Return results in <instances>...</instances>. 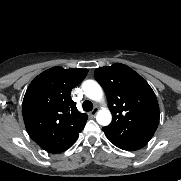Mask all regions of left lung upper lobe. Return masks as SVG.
Returning a JSON list of instances; mask_svg holds the SVG:
<instances>
[{"mask_svg":"<svg viewBox=\"0 0 181 181\" xmlns=\"http://www.w3.org/2000/svg\"><path fill=\"white\" fill-rule=\"evenodd\" d=\"M103 87L113 120L103 127L106 137L120 144L146 145L160 118L159 105L150 85L127 65L116 63L95 70Z\"/></svg>","mask_w":181,"mask_h":181,"instance_id":"left-lung-upper-lobe-1","label":"left lung upper lobe"}]
</instances>
